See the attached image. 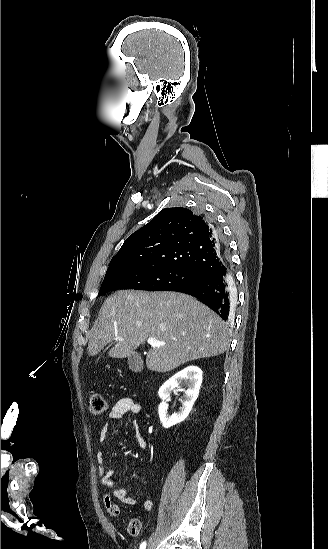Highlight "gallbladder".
Returning a JSON list of instances; mask_svg holds the SVG:
<instances>
[{"label":"gallbladder","mask_w":328,"mask_h":549,"mask_svg":"<svg viewBox=\"0 0 328 549\" xmlns=\"http://www.w3.org/2000/svg\"><path fill=\"white\" fill-rule=\"evenodd\" d=\"M128 367L133 371V373H140L143 369V361L139 353H133L128 357Z\"/></svg>","instance_id":"1"}]
</instances>
